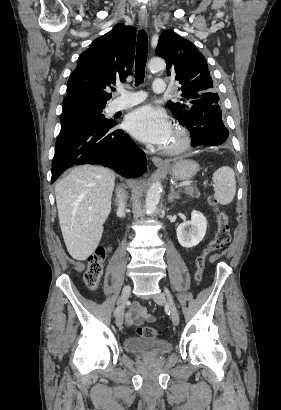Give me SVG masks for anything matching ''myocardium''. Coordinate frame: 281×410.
<instances>
[{
  "label": "myocardium",
  "mask_w": 281,
  "mask_h": 410,
  "mask_svg": "<svg viewBox=\"0 0 281 410\" xmlns=\"http://www.w3.org/2000/svg\"><path fill=\"white\" fill-rule=\"evenodd\" d=\"M173 133L177 138L176 144L171 147L164 146L161 148V151L166 155H179L186 151L191 143L190 133L185 127L176 125L173 129Z\"/></svg>",
  "instance_id": "myocardium-1"
}]
</instances>
